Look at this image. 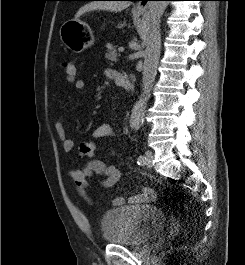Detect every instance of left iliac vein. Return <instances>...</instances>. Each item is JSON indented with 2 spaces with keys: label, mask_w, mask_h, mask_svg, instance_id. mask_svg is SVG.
<instances>
[{
  "label": "left iliac vein",
  "mask_w": 245,
  "mask_h": 265,
  "mask_svg": "<svg viewBox=\"0 0 245 265\" xmlns=\"http://www.w3.org/2000/svg\"><path fill=\"white\" fill-rule=\"evenodd\" d=\"M152 160H153V153L149 150L146 151L144 165L147 166L148 168H151Z\"/></svg>",
  "instance_id": "1"
}]
</instances>
